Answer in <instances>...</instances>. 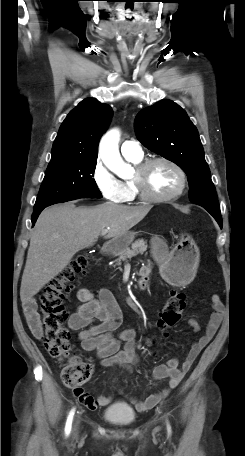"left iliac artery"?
Here are the masks:
<instances>
[{"label":"left iliac artery","instance_id":"1","mask_svg":"<svg viewBox=\"0 0 245 456\" xmlns=\"http://www.w3.org/2000/svg\"><path fill=\"white\" fill-rule=\"evenodd\" d=\"M168 431H169V432L171 431V430H170V426H169V425H168Z\"/></svg>","mask_w":245,"mask_h":456}]
</instances>
